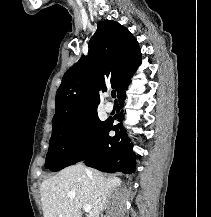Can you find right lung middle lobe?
<instances>
[{
	"label": "right lung middle lobe",
	"instance_id": "obj_1",
	"mask_svg": "<svg viewBox=\"0 0 211 217\" xmlns=\"http://www.w3.org/2000/svg\"><path fill=\"white\" fill-rule=\"evenodd\" d=\"M107 126L97 111L53 127L45 168L59 171L85 159L101 141Z\"/></svg>",
	"mask_w": 211,
	"mask_h": 217
}]
</instances>
